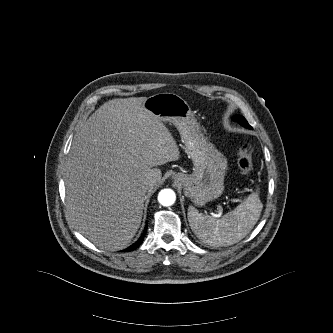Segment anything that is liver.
I'll list each match as a JSON object with an SVG mask.
<instances>
[{"mask_svg": "<svg viewBox=\"0 0 333 333\" xmlns=\"http://www.w3.org/2000/svg\"><path fill=\"white\" fill-rule=\"evenodd\" d=\"M146 97L104 103L76 133L66 166V201L77 230L100 249L126 248L143 215L151 172L180 158L162 121L143 104ZM155 184V185H156Z\"/></svg>", "mask_w": 333, "mask_h": 333, "instance_id": "6515ba94", "label": "liver"}]
</instances>
